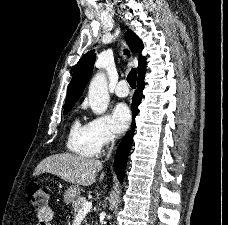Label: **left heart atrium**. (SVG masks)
I'll list each match as a JSON object with an SVG mask.
<instances>
[{"instance_id": "left-heart-atrium-1", "label": "left heart atrium", "mask_w": 228, "mask_h": 225, "mask_svg": "<svg viewBox=\"0 0 228 225\" xmlns=\"http://www.w3.org/2000/svg\"><path fill=\"white\" fill-rule=\"evenodd\" d=\"M131 121V113L125 104H118L112 112V122L117 132L127 129Z\"/></svg>"}]
</instances>
